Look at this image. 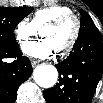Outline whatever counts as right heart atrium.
Segmentation results:
<instances>
[{"label":"right heart atrium","mask_w":103,"mask_h":103,"mask_svg":"<svg viewBox=\"0 0 103 103\" xmlns=\"http://www.w3.org/2000/svg\"><path fill=\"white\" fill-rule=\"evenodd\" d=\"M37 29L31 21L22 19L17 22L14 28V37L19 45L26 43L33 35H35Z\"/></svg>","instance_id":"d8ad5b80"}]
</instances>
